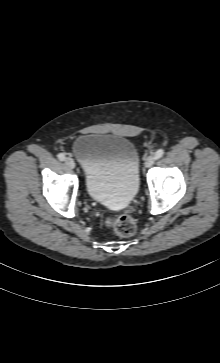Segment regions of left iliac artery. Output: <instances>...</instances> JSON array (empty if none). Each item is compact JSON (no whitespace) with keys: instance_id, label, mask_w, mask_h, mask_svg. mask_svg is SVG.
<instances>
[{"instance_id":"44dca946","label":"left iliac artery","mask_w":220,"mask_h":363,"mask_svg":"<svg viewBox=\"0 0 220 363\" xmlns=\"http://www.w3.org/2000/svg\"><path fill=\"white\" fill-rule=\"evenodd\" d=\"M164 153H165L164 149L157 150L156 153H155V159L161 158L164 155Z\"/></svg>"}]
</instances>
